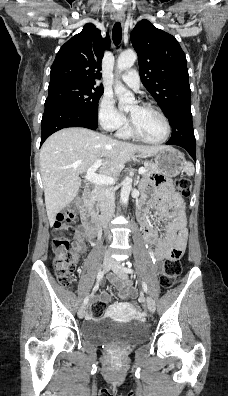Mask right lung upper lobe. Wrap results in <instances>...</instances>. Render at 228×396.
<instances>
[{
	"label": "right lung upper lobe",
	"instance_id": "obj_1",
	"mask_svg": "<svg viewBox=\"0 0 228 396\" xmlns=\"http://www.w3.org/2000/svg\"><path fill=\"white\" fill-rule=\"evenodd\" d=\"M109 48L108 34L103 39L99 29L91 23L86 24L57 53L49 86L66 82L95 85V80L101 78L103 52Z\"/></svg>",
	"mask_w": 228,
	"mask_h": 396
}]
</instances>
